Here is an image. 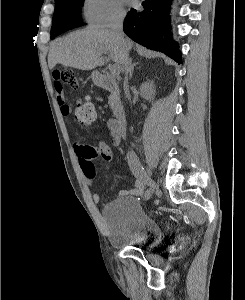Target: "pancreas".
<instances>
[{
    "label": "pancreas",
    "instance_id": "pancreas-1",
    "mask_svg": "<svg viewBox=\"0 0 245 300\" xmlns=\"http://www.w3.org/2000/svg\"><path fill=\"white\" fill-rule=\"evenodd\" d=\"M114 101H115V98H114L113 96H110V97H109V104H110L111 106L113 105Z\"/></svg>",
    "mask_w": 245,
    "mask_h": 300
}]
</instances>
